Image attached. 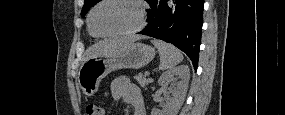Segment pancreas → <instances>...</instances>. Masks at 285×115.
<instances>
[{
	"label": "pancreas",
	"instance_id": "1",
	"mask_svg": "<svg viewBox=\"0 0 285 115\" xmlns=\"http://www.w3.org/2000/svg\"><path fill=\"white\" fill-rule=\"evenodd\" d=\"M134 79L140 84L142 88H145L149 84V80L145 78L142 74L134 76Z\"/></svg>",
	"mask_w": 285,
	"mask_h": 115
}]
</instances>
